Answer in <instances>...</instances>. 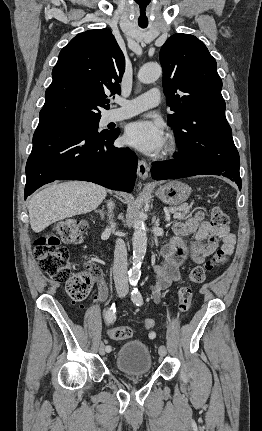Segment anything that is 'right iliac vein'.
Masks as SVG:
<instances>
[{
    "label": "right iliac vein",
    "mask_w": 262,
    "mask_h": 431,
    "mask_svg": "<svg viewBox=\"0 0 262 431\" xmlns=\"http://www.w3.org/2000/svg\"><path fill=\"white\" fill-rule=\"evenodd\" d=\"M124 294H125L124 291H122L120 293L121 296H123ZM105 352H106V347H105L104 343H100V346H99L100 355H105Z\"/></svg>",
    "instance_id": "1"
}]
</instances>
